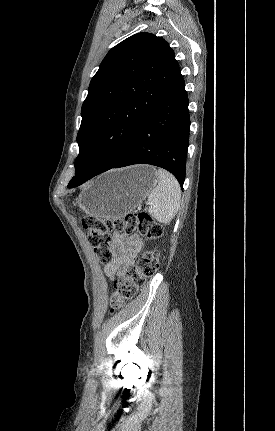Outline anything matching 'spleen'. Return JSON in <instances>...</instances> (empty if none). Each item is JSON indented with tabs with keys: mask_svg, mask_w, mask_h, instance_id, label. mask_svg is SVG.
I'll return each mask as SVG.
<instances>
[{
	"mask_svg": "<svg viewBox=\"0 0 275 431\" xmlns=\"http://www.w3.org/2000/svg\"><path fill=\"white\" fill-rule=\"evenodd\" d=\"M158 184L148 194V213L163 224L176 216L181 200V189L176 178L164 169L156 171Z\"/></svg>",
	"mask_w": 275,
	"mask_h": 431,
	"instance_id": "3e777b00",
	"label": "spleen"
}]
</instances>
